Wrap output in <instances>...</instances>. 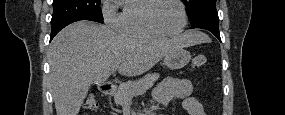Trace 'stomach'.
Here are the masks:
<instances>
[{
    "label": "stomach",
    "mask_w": 285,
    "mask_h": 115,
    "mask_svg": "<svg viewBox=\"0 0 285 115\" xmlns=\"http://www.w3.org/2000/svg\"><path fill=\"white\" fill-rule=\"evenodd\" d=\"M191 59V54L183 49L177 48L164 56V64L171 70L181 69L186 66Z\"/></svg>",
    "instance_id": "0dacf381"
}]
</instances>
